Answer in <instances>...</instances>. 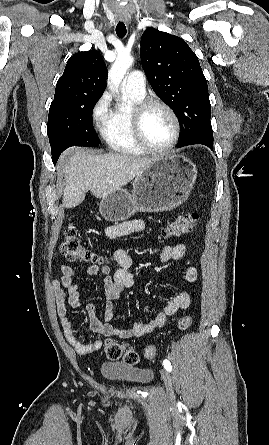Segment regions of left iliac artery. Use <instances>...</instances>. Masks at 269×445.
Masks as SVG:
<instances>
[{
    "mask_svg": "<svg viewBox=\"0 0 269 445\" xmlns=\"http://www.w3.org/2000/svg\"><path fill=\"white\" fill-rule=\"evenodd\" d=\"M163 365H164V367H165V369H166L167 371L171 372V370H172V366H171V363H170L169 360L165 359V360L163 361Z\"/></svg>",
    "mask_w": 269,
    "mask_h": 445,
    "instance_id": "44dca946",
    "label": "left iliac artery"
}]
</instances>
